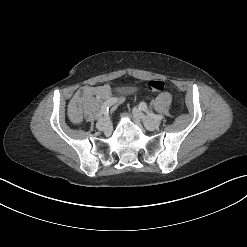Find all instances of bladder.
Returning a JSON list of instances; mask_svg holds the SVG:
<instances>
[{"mask_svg": "<svg viewBox=\"0 0 247 247\" xmlns=\"http://www.w3.org/2000/svg\"><path fill=\"white\" fill-rule=\"evenodd\" d=\"M131 90V88H125L123 91H122V95H125L127 94L129 91Z\"/></svg>", "mask_w": 247, "mask_h": 247, "instance_id": "bladder-1", "label": "bladder"}]
</instances>
